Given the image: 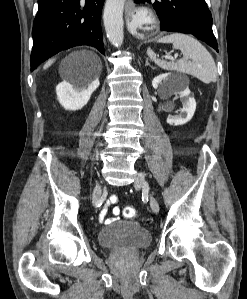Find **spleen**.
<instances>
[{"label":"spleen","mask_w":247,"mask_h":299,"mask_svg":"<svg viewBox=\"0 0 247 299\" xmlns=\"http://www.w3.org/2000/svg\"><path fill=\"white\" fill-rule=\"evenodd\" d=\"M158 41L172 43L173 48L180 49L183 54V58L177 62L164 61L157 58L156 54L148 48L147 55L160 68L192 75L207 84L216 81L217 69L214 59L198 40L189 35L174 33L164 36Z\"/></svg>","instance_id":"1"}]
</instances>
